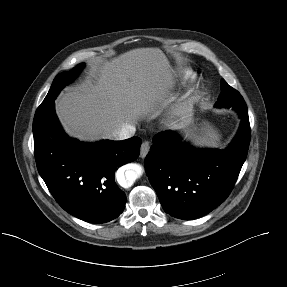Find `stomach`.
<instances>
[{
    "label": "stomach",
    "mask_w": 287,
    "mask_h": 287,
    "mask_svg": "<svg viewBox=\"0 0 287 287\" xmlns=\"http://www.w3.org/2000/svg\"><path fill=\"white\" fill-rule=\"evenodd\" d=\"M186 137L199 146H217L220 143L218 131L209 122L198 118L195 112L191 113L190 123L186 126Z\"/></svg>",
    "instance_id": "stomach-1"
}]
</instances>
